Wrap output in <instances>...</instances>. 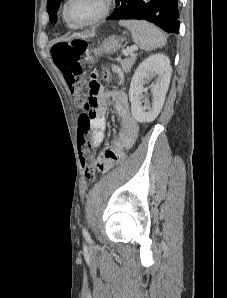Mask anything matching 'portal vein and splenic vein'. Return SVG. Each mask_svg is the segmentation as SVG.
Returning <instances> with one entry per match:
<instances>
[{
	"mask_svg": "<svg viewBox=\"0 0 227 298\" xmlns=\"http://www.w3.org/2000/svg\"><path fill=\"white\" fill-rule=\"evenodd\" d=\"M135 50H137V47L132 46L130 48H127V49L123 50L122 52L125 56H128L129 54L133 53Z\"/></svg>",
	"mask_w": 227,
	"mask_h": 298,
	"instance_id": "18ae733b",
	"label": "portal vein and splenic vein"
}]
</instances>
